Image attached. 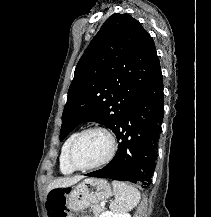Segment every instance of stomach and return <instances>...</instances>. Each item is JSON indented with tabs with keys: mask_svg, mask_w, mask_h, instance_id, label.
I'll use <instances>...</instances> for the list:
<instances>
[{
	"mask_svg": "<svg viewBox=\"0 0 211 217\" xmlns=\"http://www.w3.org/2000/svg\"><path fill=\"white\" fill-rule=\"evenodd\" d=\"M67 208L79 212L90 205L97 204L108 198L111 193V186L103 178H88L74 187H66Z\"/></svg>",
	"mask_w": 211,
	"mask_h": 217,
	"instance_id": "obj_1",
	"label": "stomach"
}]
</instances>
